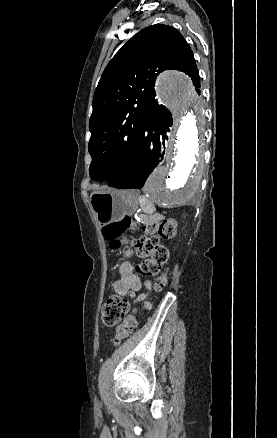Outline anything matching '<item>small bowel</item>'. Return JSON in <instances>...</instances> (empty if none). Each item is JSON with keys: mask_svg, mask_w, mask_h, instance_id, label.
<instances>
[{"mask_svg": "<svg viewBox=\"0 0 277 438\" xmlns=\"http://www.w3.org/2000/svg\"><path fill=\"white\" fill-rule=\"evenodd\" d=\"M134 265L130 260L121 263L119 268V279L114 283V290L118 294L125 295L130 291H139L142 287V281L138 275L134 273ZM149 286V282L145 283ZM140 296L139 299H142Z\"/></svg>", "mask_w": 277, "mask_h": 438, "instance_id": "1", "label": "small bowel"}]
</instances>
